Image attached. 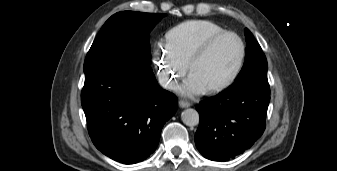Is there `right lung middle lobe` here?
Returning <instances> with one entry per match:
<instances>
[{"instance_id":"dd1d6c3e","label":"right lung middle lobe","mask_w":337,"mask_h":171,"mask_svg":"<svg viewBox=\"0 0 337 171\" xmlns=\"http://www.w3.org/2000/svg\"><path fill=\"white\" fill-rule=\"evenodd\" d=\"M165 16L162 13L122 11L111 16L87 53L84 72L110 61L147 68L151 64L149 33Z\"/></svg>"}]
</instances>
